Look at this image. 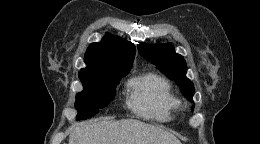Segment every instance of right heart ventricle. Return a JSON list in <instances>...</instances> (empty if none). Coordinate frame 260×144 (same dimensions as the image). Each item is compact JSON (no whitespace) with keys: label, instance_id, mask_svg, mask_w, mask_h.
Instances as JSON below:
<instances>
[{"label":"right heart ventricle","instance_id":"e07e8e85","mask_svg":"<svg viewBox=\"0 0 260 144\" xmlns=\"http://www.w3.org/2000/svg\"><path fill=\"white\" fill-rule=\"evenodd\" d=\"M128 88L127 104L134 113L160 123L174 119L180 103L164 77L148 72L131 78Z\"/></svg>","mask_w":260,"mask_h":144}]
</instances>
